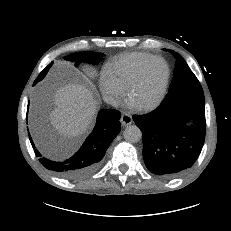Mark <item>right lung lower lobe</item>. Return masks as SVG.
I'll return each mask as SVG.
<instances>
[{
	"instance_id": "1",
	"label": "right lung lower lobe",
	"mask_w": 231,
	"mask_h": 231,
	"mask_svg": "<svg viewBox=\"0 0 231 231\" xmlns=\"http://www.w3.org/2000/svg\"><path fill=\"white\" fill-rule=\"evenodd\" d=\"M120 112L114 109L101 110L98 113L94 130L88 136L82 147L65 161H51L44 157L38 150H34L40 163L56 174L69 178L78 179L87 176L100 166L105 152L114 138L120 132ZM33 148L35 145L29 135Z\"/></svg>"
}]
</instances>
